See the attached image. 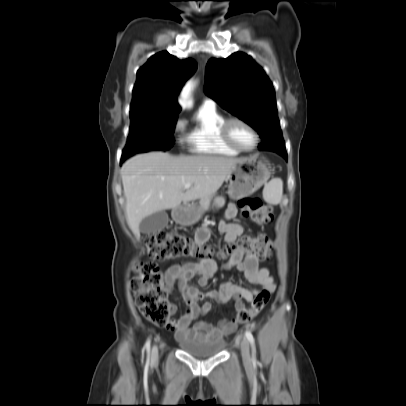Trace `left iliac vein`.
Masks as SVG:
<instances>
[{
  "label": "left iliac vein",
  "instance_id": "obj_1",
  "mask_svg": "<svg viewBox=\"0 0 406 406\" xmlns=\"http://www.w3.org/2000/svg\"><path fill=\"white\" fill-rule=\"evenodd\" d=\"M243 362L247 365L251 364L250 345L246 338H243L240 344Z\"/></svg>",
  "mask_w": 406,
  "mask_h": 406
}]
</instances>
